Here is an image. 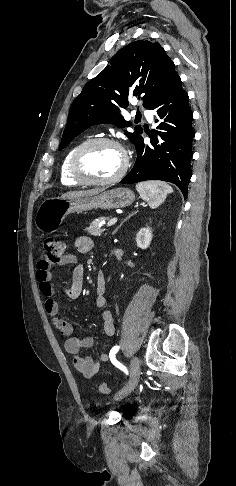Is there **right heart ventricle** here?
Here are the masks:
<instances>
[{
	"mask_svg": "<svg viewBox=\"0 0 236 486\" xmlns=\"http://www.w3.org/2000/svg\"><path fill=\"white\" fill-rule=\"evenodd\" d=\"M85 140H82V141H79L77 143H75L69 150L68 152L66 153L63 161H62V164H61V168H60V179H61V182L62 184L66 185V186H78L80 185L81 183H79L78 181H76L70 174V171H69V164H70V159L74 153V151L82 144L84 143Z\"/></svg>",
	"mask_w": 236,
	"mask_h": 486,
	"instance_id": "right-heart-ventricle-1",
	"label": "right heart ventricle"
}]
</instances>
